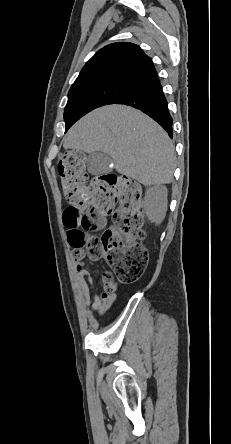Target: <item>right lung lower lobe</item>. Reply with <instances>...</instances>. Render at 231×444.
Returning a JSON list of instances; mask_svg holds the SVG:
<instances>
[{
	"instance_id": "obj_1",
	"label": "right lung lower lobe",
	"mask_w": 231,
	"mask_h": 444,
	"mask_svg": "<svg viewBox=\"0 0 231 444\" xmlns=\"http://www.w3.org/2000/svg\"><path fill=\"white\" fill-rule=\"evenodd\" d=\"M115 104L137 108L159 123L172 138V117L158 78L143 83L117 99Z\"/></svg>"
}]
</instances>
